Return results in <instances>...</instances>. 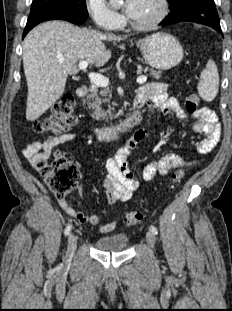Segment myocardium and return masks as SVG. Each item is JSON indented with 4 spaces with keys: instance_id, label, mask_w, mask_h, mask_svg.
I'll return each mask as SVG.
<instances>
[{
    "instance_id": "obj_1",
    "label": "myocardium",
    "mask_w": 232,
    "mask_h": 311,
    "mask_svg": "<svg viewBox=\"0 0 232 311\" xmlns=\"http://www.w3.org/2000/svg\"><path fill=\"white\" fill-rule=\"evenodd\" d=\"M158 4V10L156 15L145 23H136L131 19L128 20L131 28L137 31H149L157 27L167 16L168 13V3L167 0H156Z\"/></svg>"
}]
</instances>
